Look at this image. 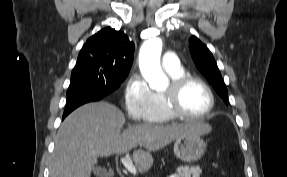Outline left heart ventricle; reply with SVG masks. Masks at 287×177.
<instances>
[{
	"label": "left heart ventricle",
	"instance_id": "obj_1",
	"mask_svg": "<svg viewBox=\"0 0 287 177\" xmlns=\"http://www.w3.org/2000/svg\"><path fill=\"white\" fill-rule=\"evenodd\" d=\"M207 91L198 83H191L183 90L180 105L184 111L194 115L203 114L209 107Z\"/></svg>",
	"mask_w": 287,
	"mask_h": 177
}]
</instances>
